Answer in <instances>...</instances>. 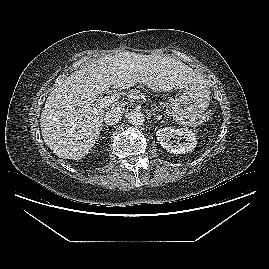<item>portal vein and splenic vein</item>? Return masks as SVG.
I'll list each match as a JSON object with an SVG mask.
<instances>
[{"label":"portal vein and splenic vein","instance_id":"obj_1","mask_svg":"<svg viewBox=\"0 0 269 269\" xmlns=\"http://www.w3.org/2000/svg\"><path fill=\"white\" fill-rule=\"evenodd\" d=\"M118 100V96L111 95L102 97L99 102L93 107L94 112H98L100 109L108 106L109 104L113 103L114 101Z\"/></svg>","mask_w":269,"mask_h":269}]
</instances>
